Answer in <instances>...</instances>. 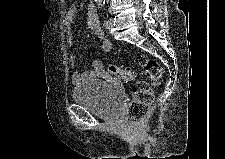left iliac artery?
<instances>
[{
    "label": "left iliac artery",
    "mask_w": 225,
    "mask_h": 159,
    "mask_svg": "<svg viewBox=\"0 0 225 159\" xmlns=\"http://www.w3.org/2000/svg\"><path fill=\"white\" fill-rule=\"evenodd\" d=\"M108 24V20H104V26H106Z\"/></svg>",
    "instance_id": "left-iliac-artery-1"
}]
</instances>
